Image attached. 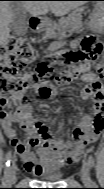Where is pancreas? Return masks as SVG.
<instances>
[{
	"label": "pancreas",
	"instance_id": "pancreas-1",
	"mask_svg": "<svg viewBox=\"0 0 104 189\" xmlns=\"http://www.w3.org/2000/svg\"><path fill=\"white\" fill-rule=\"evenodd\" d=\"M82 10L83 9H76L71 14H69L68 17L60 19V21H59L60 26L53 25V26H51L49 31L51 33H53L55 30L64 31L66 29V27H68L69 25H77V26L80 25Z\"/></svg>",
	"mask_w": 104,
	"mask_h": 189
}]
</instances>
